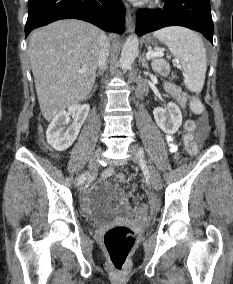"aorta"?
Here are the masks:
<instances>
[{
  "label": "aorta",
  "mask_w": 233,
  "mask_h": 284,
  "mask_svg": "<svg viewBox=\"0 0 233 284\" xmlns=\"http://www.w3.org/2000/svg\"><path fill=\"white\" fill-rule=\"evenodd\" d=\"M139 53V41L136 35H130L123 46L120 67L122 70L130 69Z\"/></svg>",
  "instance_id": "aorta-1"
}]
</instances>
